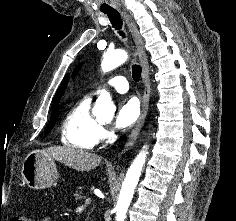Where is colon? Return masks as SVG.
Masks as SVG:
<instances>
[{
    "label": "colon",
    "instance_id": "1",
    "mask_svg": "<svg viewBox=\"0 0 236 221\" xmlns=\"http://www.w3.org/2000/svg\"><path fill=\"white\" fill-rule=\"evenodd\" d=\"M12 221H31V219L28 216L24 215V214H19V215H16L12 219Z\"/></svg>",
    "mask_w": 236,
    "mask_h": 221
}]
</instances>
